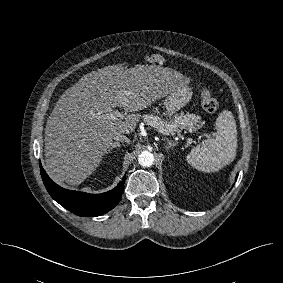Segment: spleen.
<instances>
[{
    "label": "spleen",
    "mask_w": 283,
    "mask_h": 283,
    "mask_svg": "<svg viewBox=\"0 0 283 283\" xmlns=\"http://www.w3.org/2000/svg\"><path fill=\"white\" fill-rule=\"evenodd\" d=\"M216 136L195 146L186 156L193 168L202 172H216L229 165L236 156L237 129L231 111H222L215 123Z\"/></svg>",
    "instance_id": "1"
}]
</instances>
